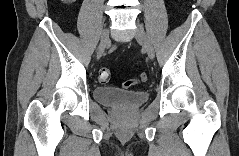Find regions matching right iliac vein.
<instances>
[{"label": "right iliac vein", "mask_w": 239, "mask_h": 156, "mask_svg": "<svg viewBox=\"0 0 239 156\" xmlns=\"http://www.w3.org/2000/svg\"><path fill=\"white\" fill-rule=\"evenodd\" d=\"M108 42H109V32H108V29L105 28L102 32L100 44H99L98 50H97V58L98 59L103 55L104 50L108 45Z\"/></svg>", "instance_id": "obj_1"}]
</instances>
